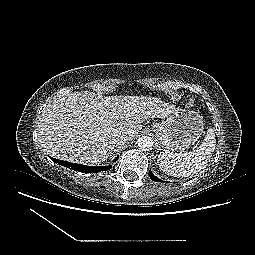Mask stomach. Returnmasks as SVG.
<instances>
[{
	"instance_id": "0dacf381",
	"label": "stomach",
	"mask_w": 255,
	"mask_h": 255,
	"mask_svg": "<svg viewBox=\"0 0 255 255\" xmlns=\"http://www.w3.org/2000/svg\"><path fill=\"white\" fill-rule=\"evenodd\" d=\"M152 129L165 150L174 152L194 145L202 135L204 123L195 111L174 108L166 119L154 122Z\"/></svg>"
}]
</instances>
